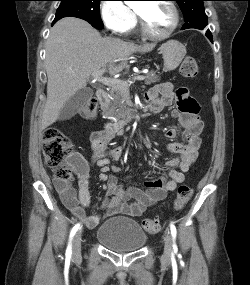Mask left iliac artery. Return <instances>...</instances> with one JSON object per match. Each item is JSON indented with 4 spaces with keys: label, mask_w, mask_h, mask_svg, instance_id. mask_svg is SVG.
I'll list each match as a JSON object with an SVG mask.
<instances>
[{
    "label": "left iliac artery",
    "mask_w": 250,
    "mask_h": 285,
    "mask_svg": "<svg viewBox=\"0 0 250 285\" xmlns=\"http://www.w3.org/2000/svg\"><path fill=\"white\" fill-rule=\"evenodd\" d=\"M170 230H171V235L173 237V249L176 251L177 247L175 244V239H176V235H177V230H176V227L173 223L170 224Z\"/></svg>",
    "instance_id": "left-iliac-artery-1"
}]
</instances>
